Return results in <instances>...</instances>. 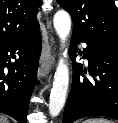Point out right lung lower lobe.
<instances>
[{"label": "right lung lower lobe", "mask_w": 118, "mask_h": 123, "mask_svg": "<svg viewBox=\"0 0 118 123\" xmlns=\"http://www.w3.org/2000/svg\"><path fill=\"white\" fill-rule=\"evenodd\" d=\"M41 48L39 30L29 38L0 45V112L19 123H26Z\"/></svg>", "instance_id": "right-lung-lower-lobe-1"}]
</instances>
